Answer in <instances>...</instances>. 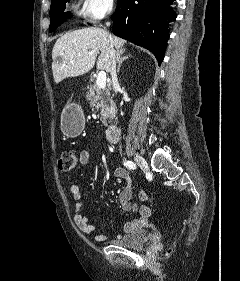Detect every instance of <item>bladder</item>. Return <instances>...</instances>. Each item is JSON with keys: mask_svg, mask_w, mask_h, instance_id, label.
Returning a JSON list of instances; mask_svg holds the SVG:
<instances>
[{"mask_svg": "<svg viewBox=\"0 0 240 281\" xmlns=\"http://www.w3.org/2000/svg\"><path fill=\"white\" fill-rule=\"evenodd\" d=\"M148 239L149 234L147 230L139 229L112 241V243L123 248H140Z\"/></svg>", "mask_w": 240, "mask_h": 281, "instance_id": "bladder-1", "label": "bladder"}]
</instances>
